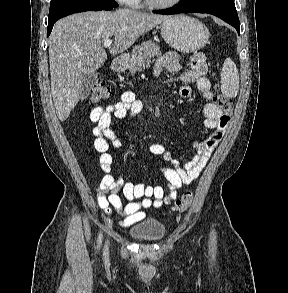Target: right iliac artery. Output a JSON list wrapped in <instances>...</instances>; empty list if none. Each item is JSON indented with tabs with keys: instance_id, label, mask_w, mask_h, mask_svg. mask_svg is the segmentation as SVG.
<instances>
[{
	"instance_id": "82829eb1",
	"label": "right iliac artery",
	"mask_w": 288,
	"mask_h": 293,
	"mask_svg": "<svg viewBox=\"0 0 288 293\" xmlns=\"http://www.w3.org/2000/svg\"><path fill=\"white\" fill-rule=\"evenodd\" d=\"M101 238H102V235L100 234V235H99V239H98V243H99V244L101 243Z\"/></svg>"
}]
</instances>
